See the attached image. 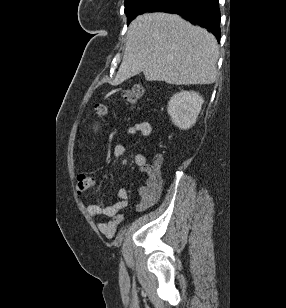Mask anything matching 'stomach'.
<instances>
[{
    "label": "stomach",
    "instance_id": "stomach-1",
    "mask_svg": "<svg viewBox=\"0 0 286 308\" xmlns=\"http://www.w3.org/2000/svg\"><path fill=\"white\" fill-rule=\"evenodd\" d=\"M115 103H116V98L110 97L109 103L106 105V108L108 110H113L115 108V105H114ZM99 122H100V124H107L108 119H107V117H100Z\"/></svg>",
    "mask_w": 286,
    "mask_h": 308
}]
</instances>
